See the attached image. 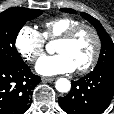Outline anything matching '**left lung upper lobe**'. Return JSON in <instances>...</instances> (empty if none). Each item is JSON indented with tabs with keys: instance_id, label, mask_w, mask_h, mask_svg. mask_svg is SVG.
<instances>
[{
	"instance_id": "1",
	"label": "left lung upper lobe",
	"mask_w": 114,
	"mask_h": 114,
	"mask_svg": "<svg viewBox=\"0 0 114 114\" xmlns=\"http://www.w3.org/2000/svg\"><path fill=\"white\" fill-rule=\"evenodd\" d=\"M61 11L73 13L75 14L76 11L69 8H63ZM81 16L88 20L97 30V33L101 39L102 48L99 56L98 63L95 68H102L107 66H114V43L108 33L105 31L103 26L100 24L98 20L81 12Z\"/></svg>"
}]
</instances>
